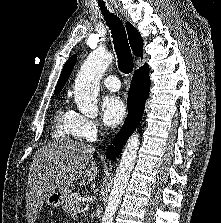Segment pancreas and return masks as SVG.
Returning a JSON list of instances; mask_svg holds the SVG:
<instances>
[{
  "label": "pancreas",
  "mask_w": 221,
  "mask_h": 223,
  "mask_svg": "<svg viewBox=\"0 0 221 223\" xmlns=\"http://www.w3.org/2000/svg\"><path fill=\"white\" fill-rule=\"evenodd\" d=\"M63 210L68 214H71L73 217L82 212V204L76 194H71L63 205Z\"/></svg>",
  "instance_id": "pancreas-1"
}]
</instances>
